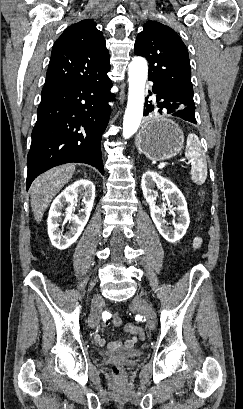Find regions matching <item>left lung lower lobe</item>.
Segmentation results:
<instances>
[{"instance_id": "0a47b994", "label": "left lung lower lobe", "mask_w": 243, "mask_h": 409, "mask_svg": "<svg viewBox=\"0 0 243 409\" xmlns=\"http://www.w3.org/2000/svg\"><path fill=\"white\" fill-rule=\"evenodd\" d=\"M153 82V92L157 94V102L156 105H153L151 103L148 104L146 101L144 115H148L154 110H158L160 114H162V112H167L194 124L197 123L195 119V104L193 102V97L156 83L155 81ZM151 94L152 93H150V95Z\"/></svg>"}]
</instances>
